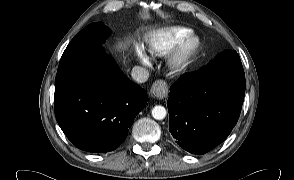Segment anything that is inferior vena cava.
<instances>
[{"label":"inferior vena cava","mask_w":294,"mask_h":180,"mask_svg":"<svg viewBox=\"0 0 294 180\" xmlns=\"http://www.w3.org/2000/svg\"><path fill=\"white\" fill-rule=\"evenodd\" d=\"M131 76L136 82L144 83L149 78V72L143 67L135 66L132 69Z\"/></svg>","instance_id":"602c4592"}]
</instances>
